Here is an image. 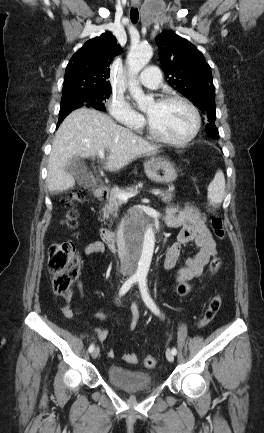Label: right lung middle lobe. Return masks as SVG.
I'll list each match as a JSON object with an SVG mask.
<instances>
[{"mask_svg": "<svg viewBox=\"0 0 264 433\" xmlns=\"http://www.w3.org/2000/svg\"><path fill=\"white\" fill-rule=\"evenodd\" d=\"M111 87L97 88L93 90H83L68 94L62 97L59 120L64 119L72 110L80 107H92L104 110V101L109 98Z\"/></svg>", "mask_w": 264, "mask_h": 433, "instance_id": "right-lung-middle-lobe-1", "label": "right lung middle lobe"}]
</instances>
